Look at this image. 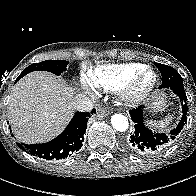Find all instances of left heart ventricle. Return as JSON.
<instances>
[{
  "instance_id": "obj_1",
  "label": "left heart ventricle",
  "mask_w": 196,
  "mask_h": 196,
  "mask_svg": "<svg viewBox=\"0 0 196 196\" xmlns=\"http://www.w3.org/2000/svg\"><path fill=\"white\" fill-rule=\"evenodd\" d=\"M152 78H153L152 74H147V75L143 78V80H142V82H141V84H140V87H141V88L146 87V86L151 82Z\"/></svg>"
}]
</instances>
